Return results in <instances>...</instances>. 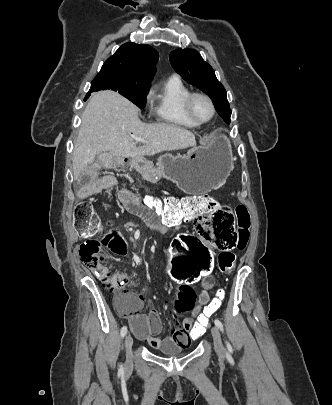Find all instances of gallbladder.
<instances>
[{"instance_id":"gallbladder-1","label":"gallbladder","mask_w":332,"mask_h":405,"mask_svg":"<svg viewBox=\"0 0 332 405\" xmlns=\"http://www.w3.org/2000/svg\"><path fill=\"white\" fill-rule=\"evenodd\" d=\"M101 155H102V154H99V155H98V158H100V157H101Z\"/></svg>"}]
</instances>
